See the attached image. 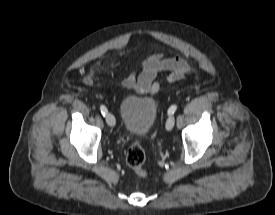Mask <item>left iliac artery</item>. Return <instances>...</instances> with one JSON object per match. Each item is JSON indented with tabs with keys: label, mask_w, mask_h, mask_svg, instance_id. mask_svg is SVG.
Wrapping results in <instances>:
<instances>
[{
	"label": "left iliac artery",
	"mask_w": 275,
	"mask_h": 215,
	"mask_svg": "<svg viewBox=\"0 0 275 215\" xmlns=\"http://www.w3.org/2000/svg\"><path fill=\"white\" fill-rule=\"evenodd\" d=\"M176 109H177V106H176V105H172V106L169 108V110H168V114H169V115L174 114V112L176 111Z\"/></svg>",
	"instance_id": "44dca946"
}]
</instances>
